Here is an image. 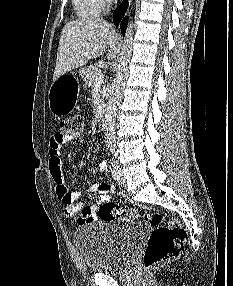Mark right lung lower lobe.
Masks as SVG:
<instances>
[{"label":"right lung lower lobe","mask_w":233,"mask_h":286,"mask_svg":"<svg viewBox=\"0 0 233 286\" xmlns=\"http://www.w3.org/2000/svg\"><path fill=\"white\" fill-rule=\"evenodd\" d=\"M128 7V0H123L120 6L113 13V22L116 26L120 24L121 32L124 35L127 27L128 17H124V14Z\"/></svg>","instance_id":"right-lung-lower-lobe-1"}]
</instances>
